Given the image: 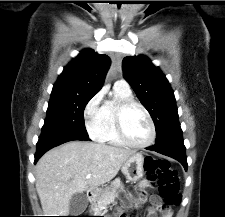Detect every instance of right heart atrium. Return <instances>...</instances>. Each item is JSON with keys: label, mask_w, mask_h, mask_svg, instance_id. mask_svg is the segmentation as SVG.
Listing matches in <instances>:
<instances>
[{"label": "right heart atrium", "mask_w": 225, "mask_h": 217, "mask_svg": "<svg viewBox=\"0 0 225 217\" xmlns=\"http://www.w3.org/2000/svg\"><path fill=\"white\" fill-rule=\"evenodd\" d=\"M102 99L103 92L95 94L85 105L84 120L88 134L98 139L102 133Z\"/></svg>", "instance_id": "1"}]
</instances>
